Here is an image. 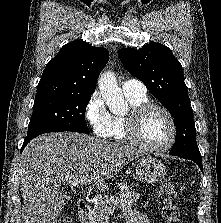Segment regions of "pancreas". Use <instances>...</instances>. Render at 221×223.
<instances>
[{"mask_svg": "<svg viewBox=\"0 0 221 223\" xmlns=\"http://www.w3.org/2000/svg\"><path fill=\"white\" fill-rule=\"evenodd\" d=\"M123 186L124 190L119 196V206L121 208L133 206L139 196L130 190L127 183H123ZM114 208L115 205L111 202L110 196H105L95 204L87 223H108L109 216Z\"/></svg>", "mask_w": 221, "mask_h": 223, "instance_id": "obj_1", "label": "pancreas"}]
</instances>
